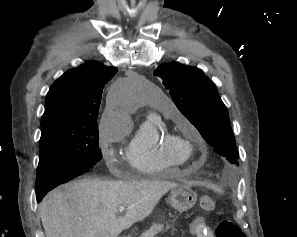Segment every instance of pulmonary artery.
Returning a JSON list of instances; mask_svg holds the SVG:
<instances>
[{
    "label": "pulmonary artery",
    "mask_w": 297,
    "mask_h": 237,
    "mask_svg": "<svg viewBox=\"0 0 297 237\" xmlns=\"http://www.w3.org/2000/svg\"><path fill=\"white\" fill-rule=\"evenodd\" d=\"M162 106L166 107V108H168L170 110L174 109L173 103L168 99H165V100L162 101Z\"/></svg>",
    "instance_id": "1"
}]
</instances>
